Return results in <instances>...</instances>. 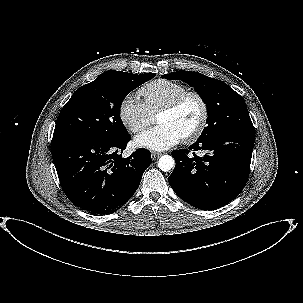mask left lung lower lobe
Returning a JSON list of instances; mask_svg holds the SVG:
<instances>
[{"label":"left lung lower lobe","mask_w":303,"mask_h":303,"mask_svg":"<svg viewBox=\"0 0 303 303\" xmlns=\"http://www.w3.org/2000/svg\"><path fill=\"white\" fill-rule=\"evenodd\" d=\"M255 141L254 131H231L198 139L189 150L172 151L176 166L168 181L188 204L203 210L222 207L245 187ZM205 151L203 157L189 151Z\"/></svg>","instance_id":"1"}]
</instances>
